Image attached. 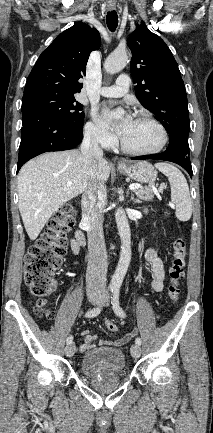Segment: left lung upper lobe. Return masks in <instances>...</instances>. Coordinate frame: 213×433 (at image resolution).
<instances>
[{"label":"left lung upper lobe","mask_w":213,"mask_h":433,"mask_svg":"<svg viewBox=\"0 0 213 433\" xmlns=\"http://www.w3.org/2000/svg\"><path fill=\"white\" fill-rule=\"evenodd\" d=\"M136 96L156 115L170 135V144L187 148L190 129L187 94L178 64L166 43L138 25L128 38Z\"/></svg>","instance_id":"1"}]
</instances>
